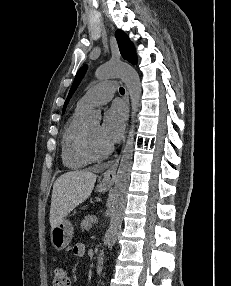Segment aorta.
<instances>
[{
    "label": "aorta",
    "instance_id": "1",
    "mask_svg": "<svg viewBox=\"0 0 231 286\" xmlns=\"http://www.w3.org/2000/svg\"><path fill=\"white\" fill-rule=\"evenodd\" d=\"M98 79L119 77L125 83L131 100V126L128 137L122 151V156L115 180L113 198L111 203L110 225L107 231L106 243L112 249L116 242L117 234L121 228L123 215L126 207L130 172L132 167L134 136H135V117L140 106L141 83L137 71L130 65L124 63H106L96 70ZM100 112L92 110L87 115V121L99 123Z\"/></svg>",
    "mask_w": 231,
    "mask_h": 286
}]
</instances>
